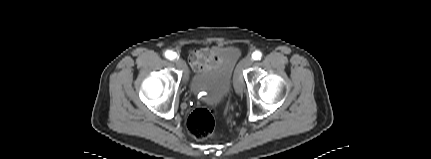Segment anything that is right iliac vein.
<instances>
[{
  "mask_svg": "<svg viewBox=\"0 0 431 159\" xmlns=\"http://www.w3.org/2000/svg\"><path fill=\"white\" fill-rule=\"evenodd\" d=\"M176 66L179 69H182L184 71V76H183V82L186 83L188 80V71H187V67H186V63L183 59L181 58H177L175 60Z\"/></svg>",
  "mask_w": 431,
  "mask_h": 159,
  "instance_id": "63e3f726",
  "label": "right iliac vein"
}]
</instances>
